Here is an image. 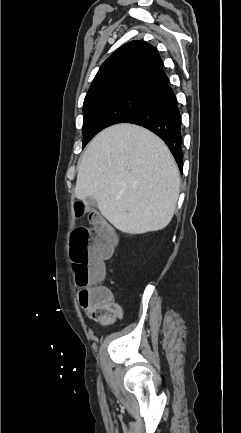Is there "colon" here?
Here are the masks:
<instances>
[{"mask_svg":"<svg viewBox=\"0 0 241 433\" xmlns=\"http://www.w3.org/2000/svg\"><path fill=\"white\" fill-rule=\"evenodd\" d=\"M75 221H82L88 215L89 208L83 200L72 203ZM90 219L94 225V236L88 228H77L72 234L70 256L77 274V286L81 289L79 297L86 307L97 304L109 296L102 285L105 278L103 261L107 258L116 240L103 218L93 213Z\"/></svg>","mask_w":241,"mask_h":433,"instance_id":"colon-1","label":"colon"}]
</instances>
